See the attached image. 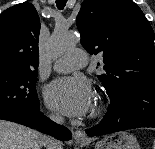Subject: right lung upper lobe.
Here are the masks:
<instances>
[{
  "label": "right lung upper lobe",
  "mask_w": 155,
  "mask_h": 149,
  "mask_svg": "<svg viewBox=\"0 0 155 149\" xmlns=\"http://www.w3.org/2000/svg\"><path fill=\"white\" fill-rule=\"evenodd\" d=\"M40 19L28 2L14 5L0 15V69L29 72L39 65Z\"/></svg>",
  "instance_id": "right-lung-upper-lobe-1"
}]
</instances>
